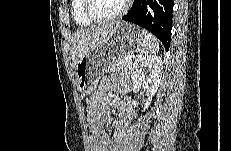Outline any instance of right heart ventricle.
<instances>
[{"instance_id":"e07e8e85","label":"right heart ventricle","mask_w":231,"mask_h":151,"mask_svg":"<svg viewBox=\"0 0 231 151\" xmlns=\"http://www.w3.org/2000/svg\"><path fill=\"white\" fill-rule=\"evenodd\" d=\"M72 14L78 25L89 26L93 23L84 12V0H74L72 2Z\"/></svg>"}]
</instances>
